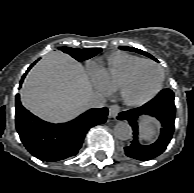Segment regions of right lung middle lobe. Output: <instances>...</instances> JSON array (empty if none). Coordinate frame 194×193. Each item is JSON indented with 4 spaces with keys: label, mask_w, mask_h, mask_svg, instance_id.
<instances>
[{
    "label": "right lung middle lobe",
    "mask_w": 194,
    "mask_h": 193,
    "mask_svg": "<svg viewBox=\"0 0 194 193\" xmlns=\"http://www.w3.org/2000/svg\"><path fill=\"white\" fill-rule=\"evenodd\" d=\"M61 50L65 53H68L70 56L78 61L87 60L101 51L100 48L74 49L67 47H63L61 48Z\"/></svg>",
    "instance_id": "right-lung-middle-lobe-1"
}]
</instances>
